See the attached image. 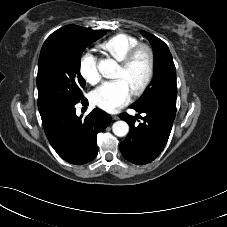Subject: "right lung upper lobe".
I'll return each instance as SVG.
<instances>
[{
    "instance_id": "right-lung-upper-lobe-1",
    "label": "right lung upper lobe",
    "mask_w": 227,
    "mask_h": 227,
    "mask_svg": "<svg viewBox=\"0 0 227 227\" xmlns=\"http://www.w3.org/2000/svg\"><path fill=\"white\" fill-rule=\"evenodd\" d=\"M67 26H76V25H67ZM67 26H64V27H67ZM79 27H81V26H79ZM82 28H84V27H82ZM84 29H86V30H88L92 33H95V34H105L106 33L105 31L91 30V29H88V28H84Z\"/></svg>"
}]
</instances>
